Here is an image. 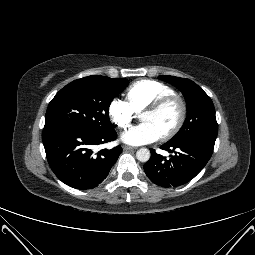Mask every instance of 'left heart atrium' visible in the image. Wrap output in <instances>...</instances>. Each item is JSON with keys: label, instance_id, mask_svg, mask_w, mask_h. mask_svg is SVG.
Returning <instances> with one entry per match:
<instances>
[{"label": "left heart atrium", "instance_id": "obj_1", "mask_svg": "<svg viewBox=\"0 0 255 255\" xmlns=\"http://www.w3.org/2000/svg\"><path fill=\"white\" fill-rule=\"evenodd\" d=\"M159 132L149 123H141L132 127L122 135V140L131 145H144L157 141Z\"/></svg>", "mask_w": 255, "mask_h": 255}]
</instances>
